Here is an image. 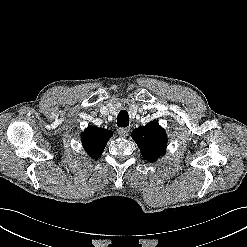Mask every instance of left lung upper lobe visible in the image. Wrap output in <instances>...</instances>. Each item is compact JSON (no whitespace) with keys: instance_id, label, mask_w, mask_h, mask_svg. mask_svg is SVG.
<instances>
[{"instance_id":"left-lung-upper-lobe-1","label":"left lung upper lobe","mask_w":247,"mask_h":247,"mask_svg":"<svg viewBox=\"0 0 247 247\" xmlns=\"http://www.w3.org/2000/svg\"><path fill=\"white\" fill-rule=\"evenodd\" d=\"M132 138L143 157L149 162H155L164 154L167 147V135L157 122H149L145 126L134 129Z\"/></svg>"}]
</instances>
